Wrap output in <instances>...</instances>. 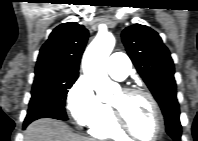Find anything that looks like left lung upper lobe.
Segmentation results:
<instances>
[{"mask_svg":"<svg viewBox=\"0 0 198 141\" xmlns=\"http://www.w3.org/2000/svg\"><path fill=\"white\" fill-rule=\"evenodd\" d=\"M122 40L138 73L160 105L168 135L175 141L180 139V111L169 50L158 33L145 25L127 27L122 32Z\"/></svg>","mask_w":198,"mask_h":141,"instance_id":"obj_1","label":"left lung upper lobe"}]
</instances>
